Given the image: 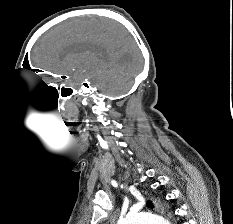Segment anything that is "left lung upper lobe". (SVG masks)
Masks as SVG:
<instances>
[{
  "mask_svg": "<svg viewBox=\"0 0 233 224\" xmlns=\"http://www.w3.org/2000/svg\"><path fill=\"white\" fill-rule=\"evenodd\" d=\"M148 207L153 208V205L151 202H148Z\"/></svg>",
  "mask_w": 233,
  "mask_h": 224,
  "instance_id": "left-lung-upper-lobe-1",
  "label": "left lung upper lobe"
}]
</instances>
